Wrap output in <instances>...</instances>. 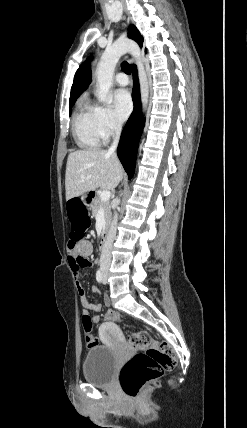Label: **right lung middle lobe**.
I'll use <instances>...</instances> for the list:
<instances>
[{
	"mask_svg": "<svg viewBox=\"0 0 247 428\" xmlns=\"http://www.w3.org/2000/svg\"><path fill=\"white\" fill-rule=\"evenodd\" d=\"M73 105H74V104H69V111H70V114H71V110H72Z\"/></svg>",
	"mask_w": 247,
	"mask_h": 428,
	"instance_id": "right-lung-middle-lobe-1",
	"label": "right lung middle lobe"
}]
</instances>
